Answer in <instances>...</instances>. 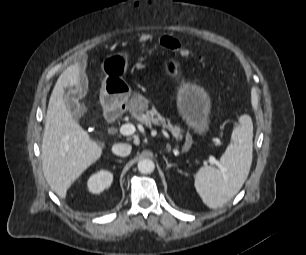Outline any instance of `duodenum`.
<instances>
[{"label": "duodenum", "mask_w": 306, "mask_h": 255, "mask_svg": "<svg viewBox=\"0 0 306 255\" xmlns=\"http://www.w3.org/2000/svg\"><path fill=\"white\" fill-rule=\"evenodd\" d=\"M118 117V111L116 110H110L107 112V119L110 122H114L116 120V118Z\"/></svg>", "instance_id": "duodenum-1"}]
</instances>
